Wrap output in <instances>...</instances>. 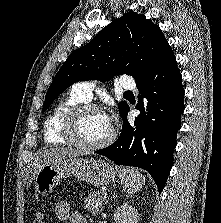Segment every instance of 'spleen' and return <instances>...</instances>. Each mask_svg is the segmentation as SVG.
<instances>
[{
  "label": "spleen",
  "instance_id": "obj_1",
  "mask_svg": "<svg viewBox=\"0 0 221 223\" xmlns=\"http://www.w3.org/2000/svg\"><path fill=\"white\" fill-rule=\"evenodd\" d=\"M121 184L127 193L134 194L142 189L145 184V176L138 170L129 167H116Z\"/></svg>",
  "mask_w": 221,
  "mask_h": 223
}]
</instances>
